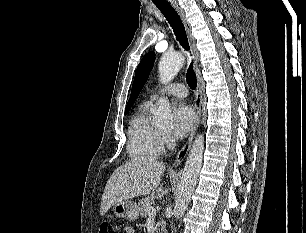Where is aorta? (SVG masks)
Masks as SVG:
<instances>
[{"label":"aorta","instance_id":"762f6f07","mask_svg":"<svg viewBox=\"0 0 306 233\" xmlns=\"http://www.w3.org/2000/svg\"><path fill=\"white\" fill-rule=\"evenodd\" d=\"M184 62L185 57L180 52L165 53L161 57L158 67L160 82L166 84L172 81L182 68ZM154 121L159 127H166L172 123V111L167 99L161 98L158 101V108L154 113ZM203 150L204 136L198 135L187 156L180 179L179 191L174 206V214L177 219L182 217L191 200L202 165Z\"/></svg>","mask_w":306,"mask_h":233}]
</instances>
